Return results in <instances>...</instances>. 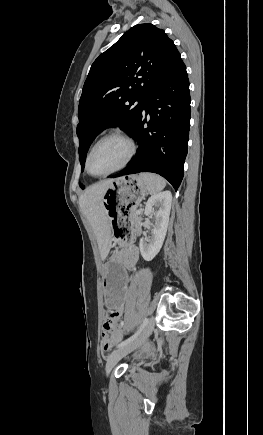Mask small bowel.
Masks as SVG:
<instances>
[{
  "instance_id": "1",
  "label": "small bowel",
  "mask_w": 263,
  "mask_h": 435,
  "mask_svg": "<svg viewBox=\"0 0 263 435\" xmlns=\"http://www.w3.org/2000/svg\"><path fill=\"white\" fill-rule=\"evenodd\" d=\"M112 258H121L123 261H128L130 264V272L135 269V265L139 258V251L135 245H130L124 249L117 251ZM124 305H119L118 310H111V315L104 322L105 334L103 341H100L99 348L104 350L106 355H113L117 348H121V343H117L123 338L122 330L118 328V319L124 313ZM117 340V342L115 341Z\"/></svg>"
}]
</instances>
